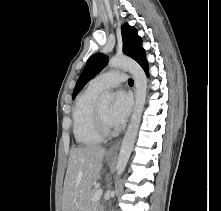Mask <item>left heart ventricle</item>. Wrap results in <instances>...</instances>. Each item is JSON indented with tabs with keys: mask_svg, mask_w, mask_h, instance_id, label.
<instances>
[{
	"mask_svg": "<svg viewBox=\"0 0 221 211\" xmlns=\"http://www.w3.org/2000/svg\"><path fill=\"white\" fill-rule=\"evenodd\" d=\"M99 112L103 118V120L105 121V123L111 128V125L108 121V113L110 110V106L109 105H100L98 106Z\"/></svg>",
	"mask_w": 221,
	"mask_h": 211,
	"instance_id": "b2bd125f",
	"label": "left heart ventricle"
}]
</instances>
